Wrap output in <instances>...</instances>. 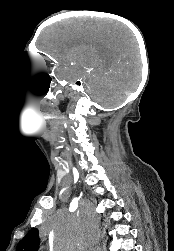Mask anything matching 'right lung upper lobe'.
<instances>
[{"mask_svg": "<svg viewBox=\"0 0 174 251\" xmlns=\"http://www.w3.org/2000/svg\"><path fill=\"white\" fill-rule=\"evenodd\" d=\"M39 247V233L37 229L30 230L17 245V251H37Z\"/></svg>", "mask_w": 174, "mask_h": 251, "instance_id": "1", "label": "right lung upper lobe"}]
</instances>
